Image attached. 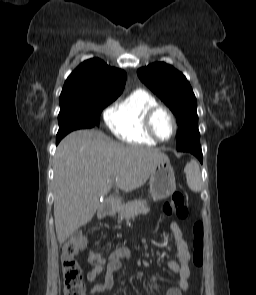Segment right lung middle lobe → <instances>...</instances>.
I'll use <instances>...</instances> for the list:
<instances>
[{"label": "right lung middle lobe", "mask_w": 256, "mask_h": 295, "mask_svg": "<svg viewBox=\"0 0 256 295\" xmlns=\"http://www.w3.org/2000/svg\"><path fill=\"white\" fill-rule=\"evenodd\" d=\"M117 97H104L79 104L60 106L59 131L56 137L65 136L76 129L88 128L87 118L91 119L94 126H98L101 111Z\"/></svg>", "instance_id": "dd1d6c3e"}]
</instances>
